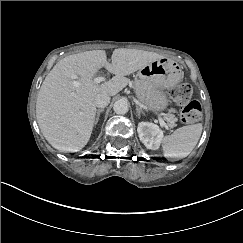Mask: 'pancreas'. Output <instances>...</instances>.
<instances>
[{
  "mask_svg": "<svg viewBox=\"0 0 243 243\" xmlns=\"http://www.w3.org/2000/svg\"><path fill=\"white\" fill-rule=\"evenodd\" d=\"M168 120H169L171 123H173V122L175 123V122L178 121V119L175 118L173 114H169V115H168Z\"/></svg>",
  "mask_w": 243,
  "mask_h": 243,
  "instance_id": "obj_1",
  "label": "pancreas"
}]
</instances>
